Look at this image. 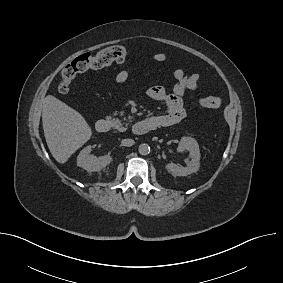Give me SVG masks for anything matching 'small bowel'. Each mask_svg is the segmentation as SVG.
I'll list each match as a JSON object with an SVG mask.
<instances>
[{"label":"small bowel","mask_w":283,"mask_h":283,"mask_svg":"<svg viewBox=\"0 0 283 283\" xmlns=\"http://www.w3.org/2000/svg\"><path fill=\"white\" fill-rule=\"evenodd\" d=\"M167 59L165 53H156L152 56V61L162 63ZM130 76L128 69H123L117 73L115 82L117 84L125 83ZM175 79L173 92L168 93L163 86L155 85L147 90V96L155 101L165 103L167 111L164 114L154 115L149 118L157 123L158 127H168L179 123L186 117V108L183 96L188 90H196L199 83L198 74H188L183 69L178 68L173 72Z\"/></svg>","instance_id":"obj_1"}]
</instances>
